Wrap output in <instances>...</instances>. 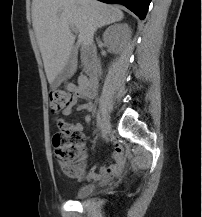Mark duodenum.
<instances>
[{
  "label": "duodenum",
  "mask_w": 202,
  "mask_h": 217,
  "mask_svg": "<svg viewBox=\"0 0 202 217\" xmlns=\"http://www.w3.org/2000/svg\"><path fill=\"white\" fill-rule=\"evenodd\" d=\"M92 47L88 46L85 49V59L89 64V72L92 76L90 79L82 78V86L88 93H94L96 90V83H95V76L97 75V68L95 65H93L90 61V51Z\"/></svg>",
  "instance_id": "410a0bca"
}]
</instances>
